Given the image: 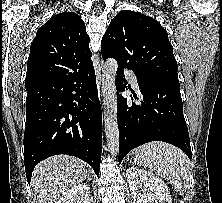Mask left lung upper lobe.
<instances>
[{
	"label": "left lung upper lobe",
	"mask_w": 222,
	"mask_h": 203,
	"mask_svg": "<svg viewBox=\"0 0 222 203\" xmlns=\"http://www.w3.org/2000/svg\"><path fill=\"white\" fill-rule=\"evenodd\" d=\"M103 59L112 57L119 68L137 77L178 80L177 62L166 30L154 18L130 10L120 11L102 38Z\"/></svg>",
	"instance_id": "left-lung-upper-lobe-1"
}]
</instances>
